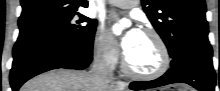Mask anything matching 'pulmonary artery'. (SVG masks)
<instances>
[{"instance_id": "1", "label": "pulmonary artery", "mask_w": 220, "mask_h": 91, "mask_svg": "<svg viewBox=\"0 0 220 91\" xmlns=\"http://www.w3.org/2000/svg\"><path fill=\"white\" fill-rule=\"evenodd\" d=\"M138 2V0H114L109 3L119 8L129 9L136 6Z\"/></svg>"}]
</instances>
